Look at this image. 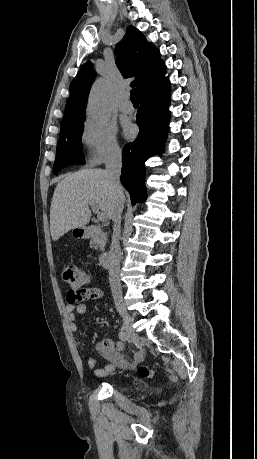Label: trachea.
Returning <instances> with one entry per match:
<instances>
[{
	"instance_id": "1",
	"label": "trachea",
	"mask_w": 257,
	"mask_h": 459,
	"mask_svg": "<svg viewBox=\"0 0 257 459\" xmlns=\"http://www.w3.org/2000/svg\"><path fill=\"white\" fill-rule=\"evenodd\" d=\"M130 99L132 102L136 101V102H139V94H138V91L136 88H133L131 91H130Z\"/></svg>"
}]
</instances>
